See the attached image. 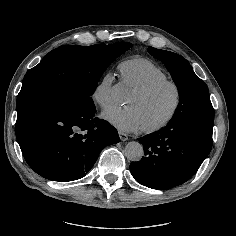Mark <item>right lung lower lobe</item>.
<instances>
[{
  "label": "right lung lower lobe",
  "mask_w": 236,
  "mask_h": 236,
  "mask_svg": "<svg viewBox=\"0 0 236 236\" xmlns=\"http://www.w3.org/2000/svg\"><path fill=\"white\" fill-rule=\"evenodd\" d=\"M95 105H45L16 122V137L29 166L42 177L59 182L82 178L101 150L118 143L117 130L95 116Z\"/></svg>",
  "instance_id": "obj_1"
}]
</instances>
